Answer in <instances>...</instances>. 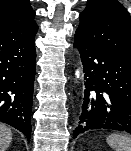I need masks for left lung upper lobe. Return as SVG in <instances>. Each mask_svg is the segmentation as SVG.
I'll return each mask as SVG.
<instances>
[{"mask_svg": "<svg viewBox=\"0 0 131 151\" xmlns=\"http://www.w3.org/2000/svg\"><path fill=\"white\" fill-rule=\"evenodd\" d=\"M76 33L91 43L131 59V17L117 0H88Z\"/></svg>", "mask_w": 131, "mask_h": 151, "instance_id": "left-lung-upper-lobe-1", "label": "left lung upper lobe"}]
</instances>
